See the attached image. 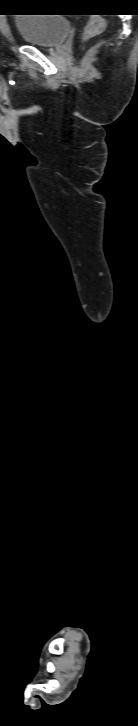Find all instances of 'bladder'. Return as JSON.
<instances>
[{"instance_id":"1","label":"bladder","mask_w":138,"mask_h":726,"mask_svg":"<svg viewBox=\"0 0 138 726\" xmlns=\"http://www.w3.org/2000/svg\"><path fill=\"white\" fill-rule=\"evenodd\" d=\"M15 28L26 43L49 48L65 40L70 22L61 14H23L15 20Z\"/></svg>"}]
</instances>
